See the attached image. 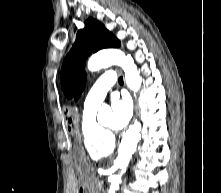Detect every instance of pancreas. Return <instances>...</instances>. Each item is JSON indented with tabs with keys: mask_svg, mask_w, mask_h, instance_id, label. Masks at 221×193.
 Listing matches in <instances>:
<instances>
[{
	"mask_svg": "<svg viewBox=\"0 0 221 193\" xmlns=\"http://www.w3.org/2000/svg\"><path fill=\"white\" fill-rule=\"evenodd\" d=\"M99 179L96 178L94 181V193H100L102 190V187L99 185Z\"/></svg>",
	"mask_w": 221,
	"mask_h": 193,
	"instance_id": "cf45deb5",
	"label": "pancreas"
}]
</instances>
